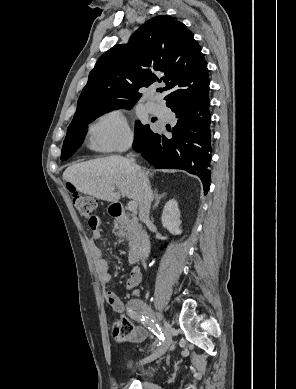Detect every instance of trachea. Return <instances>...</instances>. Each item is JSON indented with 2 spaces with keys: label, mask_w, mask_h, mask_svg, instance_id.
<instances>
[{
  "label": "trachea",
  "mask_w": 296,
  "mask_h": 389,
  "mask_svg": "<svg viewBox=\"0 0 296 389\" xmlns=\"http://www.w3.org/2000/svg\"><path fill=\"white\" fill-rule=\"evenodd\" d=\"M157 91H158V92H161V89H158Z\"/></svg>",
  "instance_id": "1"
}]
</instances>
